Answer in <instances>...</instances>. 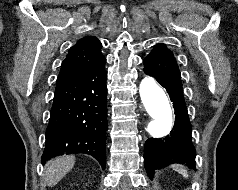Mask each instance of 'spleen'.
<instances>
[{"instance_id": "spleen-1", "label": "spleen", "mask_w": 238, "mask_h": 190, "mask_svg": "<svg viewBox=\"0 0 238 190\" xmlns=\"http://www.w3.org/2000/svg\"><path fill=\"white\" fill-rule=\"evenodd\" d=\"M173 168L175 169V171H177L178 173L182 174L183 177H185V178L188 177L187 170L184 169L183 167H181L180 165H175V166H173Z\"/></svg>"}]
</instances>
